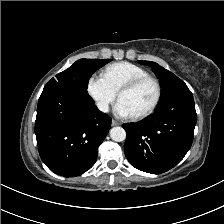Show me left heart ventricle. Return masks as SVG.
I'll return each instance as SVG.
<instances>
[{
    "label": "left heart ventricle",
    "mask_w": 224,
    "mask_h": 224,
    "mask_svg": "<svg viewBox=\"0 0 224 224\" xmlns=\"http://www.w3.org/2000/svg\"><path fill=\"white\" fill-rule=\"evenodd\" d=\"M155 95L156 89L154 84L150 81H146L135 89L121 94L119 100L127 105L133 115H137L151 106L155 99Z\"/></svg>",
    "instance_id": "1"
}]
</instances>
